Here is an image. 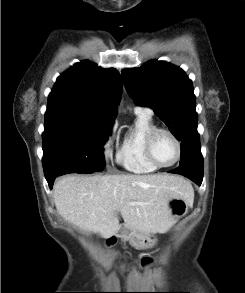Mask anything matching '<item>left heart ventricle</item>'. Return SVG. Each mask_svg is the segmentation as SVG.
Listing matches in <instances>:
<instances>
[{"label":"left heart ventricle","mask_w":245,"mask_h":293,"mask_svg":"<svg viewBox=\"0 0 245 293\" xmlns=\"http://www.w3.org/2000/svg\"><path fill=\"white\" fill-rule=\"evenodd\" d=\"M153 153L161 164L171 163L177 154V149L172 138L165 133L159 134L154 141Z\"/></svg>","instance_id":"obj_1"}]
</instances>
